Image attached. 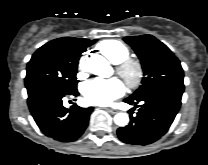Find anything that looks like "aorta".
Segmentation results:
<instances>
[{
	"label": "aorta",
	"instance_id": "762f6f07",
	"mask_svg": "<svg viewBox=\"0 0 208 165\" xmlns=\"http://www.w3.org/2000/svg\"><path fill=\"white\" fill-rule=\"evenodd\" d=\"M87 70L95 75L107 77L109 75L110 66L108 61L101 55L95 54L86 60ZM114 122L120 127H124L129 122V116L127 113H117L114 116Z\"/></svg>",
	"mask_w": 208,
	"mask_h": 165
}]
</instances>
